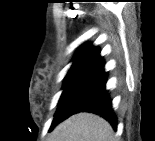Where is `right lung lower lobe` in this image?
I'll return each instance as SVG.
<instances>
[{
	"label": "right lung lower lobe",
	"mask_w": 155,
	"mask_h": 141,
	"mask_svg": "<svg viewBox=\"0 0 155 141\" xmlns=\"http://www.w3.org/2000/svg\"><path fill=\"white\" fill-rule=\"evenodd\" d=\"M106 80L107 72L104 71L103 66L65 104L60 122L73 114L90 112L102 116L116 129L117 119L112 110L109 94L105 89ZM55 126L51 127V130Z\"/></svg>",
	"instance_id": "right-lung-lower-lobe-1"
}]
</instances>
